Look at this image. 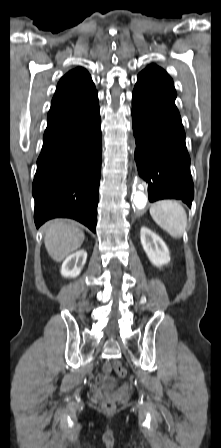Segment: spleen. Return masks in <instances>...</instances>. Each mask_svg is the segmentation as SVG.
Wrapping results in <instances>:
<instances>
[{"instance_id":"obj_1","label":"spleen","mask_w":221,"mask_h":448,"mask_svg":"<svg viewBox=\"0 0 221 448\" xmlns=\"http://www.w3.org/2000/svg\"><path fill=\"white\" fill-rule=\"evenodd\" d=\"M150 215L157 225L175 239L181 238L186 231V211L176 201L155 202L150 208Z\"/></svg>"}]
</instances>
